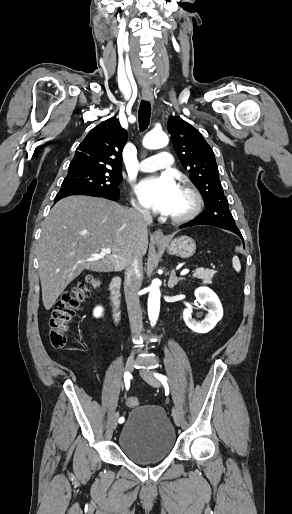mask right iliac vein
<instances>
[{
    "mask_svg": "<svg viewBox=\"0 0 292 514\" xmlns=\"http://www.w3.org/2000/svg\"><path fill=\"white\" fill-rule=\"evenodd\" d=\"M134 365H135V360L133 357H129L127 362H126V365H125V368L128 372H132L134 370ZM118 413H116L114 416H113V419H112V428L115 429L117 427V421H118Z\"/></svg>",
    "mask_w": 292,
    "mask_h": 514,
    "instance_id": "63e3f726",
    "label": "right iliac vein"
}]
</instances>
